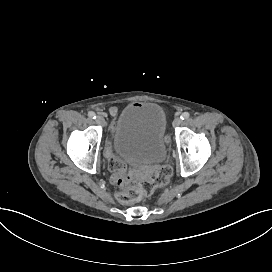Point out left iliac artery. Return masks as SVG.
I'll use <instances>...</instances> for the list:
<instances>
[{
  "mask_svg": "<svg viewBox=\"0 0 272 272\" xmlns=\"http://www.w3.org/2000/svg\"><path fill=\"white\" fill-rule=\"evenodd\" d=\"M190 117V114L188 112H184L181 114L180 118L182 120L188 119Z\"/></svg>",
  "mask_w": 272,
  "mask_h": 272,
  "instance_id": "44dca946",
  "label": "left iliac artery"
}]
</instances>
